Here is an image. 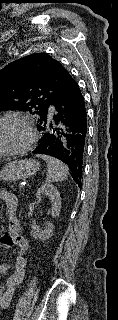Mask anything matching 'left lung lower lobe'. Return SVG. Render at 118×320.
<instances>
[{"label": "left lung lower lobe", "instance_id": "0a47b994", "mask_svg": "<svg viewBox=\"0 0 118 320\" xmlns=\"http://www.w3.org/2000/svg\"><path fill=\"white\" fill-rule=\"evenodd\" d=\"M52 105L55 113L39 119L37 128L42 137L33 153L49 155L67 164L72 178L80 186L87 119L84 98L74 79Z\"/></svg>", "mask_w": 118, "mask_h": 320}]
</instances>
